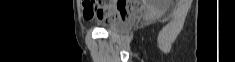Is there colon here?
<instances>
[{
	"mask_svg": "<svg viewBox=\"0 0 235 62\" xmlns=\"http://www.w3.org/2000/svg\"><path fill=\"white\" fill-rule=\"evenodd\" d=\"M135 8V5L132 9L125 7L124 5L118 4L116 6V17L118 19H123L127 14Z\"/></svg>",
	"mask_w": 235,
	"mask_h": 62,
	"instance_id": "obj_1",
	"label": "colon"
}]
</instances>
